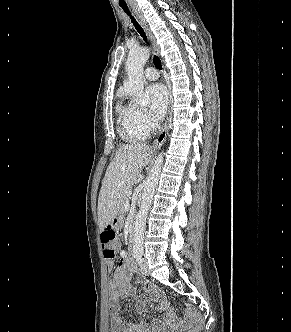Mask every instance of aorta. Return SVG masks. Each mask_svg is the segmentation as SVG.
<instances>
[{"instance_id":"obj_1","label":"aorta","mask_w":291,"mask_h":332,"mask_svg":"<svg viewBox=\"0 0 291 332\" xmlns=\"http://www.w3.org/2000/svg\"><path fill=\"white\" fill-rule=\"evenodd\" d=\"M149 56V49L142 47L131 50L126 61L128 79L125 90L130 95L132 102L143 106L149 104V98L144 94L145 80L143 75L144 65ZM163 161L164 158L162 152L157 156L154 165L144 182L142 199L134 227L133 253L135 255H141L143 253L146 218L155 189L159 182Z\"/></svg>"}]
</instances>
